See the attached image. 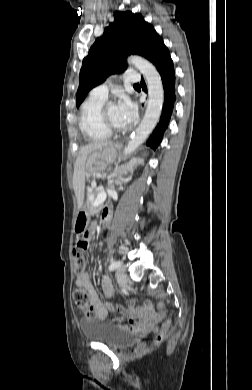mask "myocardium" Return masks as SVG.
<instances>
[{
    "instance_id": "obj_1",
    "label": "myocardium",
    "mask_w": 252,
    "mask_h": 390,
    "mask_svg": "<svg viewBox=\"0 0 252 390\" xmlns=\"http://www.w3.org/2000/svg\"><path fill=\"white\" fill-rule=\"evenodd\" d=\"M110 104H114L112 102H109V103H106L102 106L101 108V111H100V121H101V124L103 126V128L109 132L111 135L112 134H121V133H124L126 131V128H116L114 127L108 120L107 118V113H106V110H107V107L110 105Z\"/></svg>"
}]
</instances>
